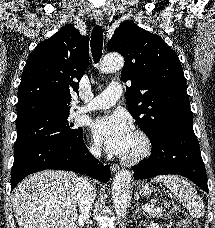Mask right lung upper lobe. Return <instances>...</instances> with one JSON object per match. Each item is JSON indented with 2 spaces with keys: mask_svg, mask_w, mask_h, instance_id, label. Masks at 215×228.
Here are the masks:
<instances>
[{
  "mask_svg": "<svg viewBox=\"0 0 215 228\" xmlns=\"http://www.w3.org/2000/svg\"><path fill=\"white\" fill-rule=\"evenodd\" d=\"M88 63V37L72 25L42 41L29 55L22 73L16 122L69 113L71 93H77Z\"/></svg>",
  "mask_w": 215,
  "mask_h": 228,
  "instance_id": "cb5924a9",
  "label": "right lung upper lobe"
}]
</instances>
